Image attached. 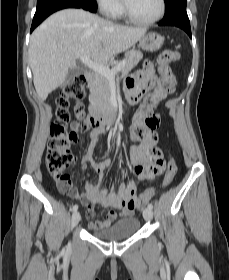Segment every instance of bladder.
Segmentation results:
<instances>
[{"label": "bladder", "instance_id": "bladder-1", "mask_svg": "<svg viewBox=\"0 0 229 280\" xmlns=\"http://www.w3.org/2000/svg\"><path fill=\"white\" fill-rule=\"evenodd\" d=\"M140 221L137 217L122 218L104 229L92 230V234L106 241L132 237L137 233Z\"/></svg>", "mask_w": 229, "mask_h": 280}]
</instances>
